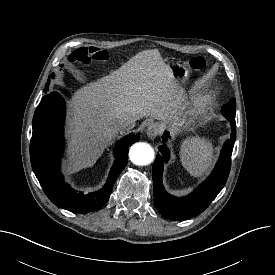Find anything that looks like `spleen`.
<instances>
[{
	"label": "spleen",
	"instance_id": "spleen-1",
	"mask_svg": "<svg viewBox=\"0 0 275 275\" xmlns=\"http://www.w3.org/2000/svg\"><path fill=\"white\" fill-rule=\"evenodd\" d=\"M180 157L185 169L192 176L200 177L207 173L213 164L212 144L199 137L185 140L181 146Z\"/></svg>",
	"mask_w": 275,
	"mask_h": 275
}]
</instances>
